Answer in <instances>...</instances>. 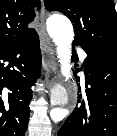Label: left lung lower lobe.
Returning a JSON list of instances; mask_svg holds the SVG:
<instances>
[{
    "label": "left lung lower lobe",
    "mask_w": 117,
    "mask_h": 136,
    "mask_svg": "<svg viewBox=\"0 0 117 136\" xmlns=\"http://www.w3.org/2000/svg\"><path fill=\"white\" fill-rule=\"evenodd\" d=\"M85 52V89L58 136H117V57Z\"/></svg>",
    "instance_id": "left-lung-lower-lobe-1"
}]
</instances>
